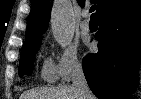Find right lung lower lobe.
Masks as SVG:
<instances>
[{
	"label": "right lung lower lobe",
	"mask_w": 141,
	"mask_h": 99,
	"mask_svg": "<svg viewBox=\"0 0 141 99\" xmlns=\"http://www.w3.org/2000/svg\"><path fill=\"white\" fill-rule=\"evenodd\" d=\"M98 53L83 59L86 80L99 99H127L141 62V1L110 0L97 16Z\"/></svg>",
	"instance_id": "1"
}]
</instances>
